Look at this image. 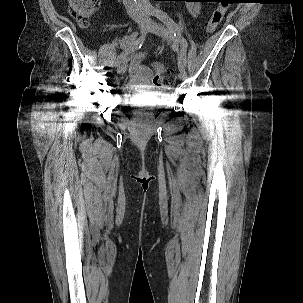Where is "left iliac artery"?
<instances>
[{"mask_svg":"<svg viewBox=\"0 0 303 303\" xmlns=\"http://www.w3.org/2000/svg\"><path fill=\"white\" fill-rule=\"evenodd\" d=\"M145 9L150 15L156 16L159 20L167 25L169 29L174 32V36L180 39L181 48L179 54V66H186V51H187V41L182 36L181 28L178 24L164 11L160 9H155L150 3L145 4Z\"/></svg>","mask_w":303,"mask_h":303,"instance_id":"1","label":"left iliac artery"}]
</instances>
